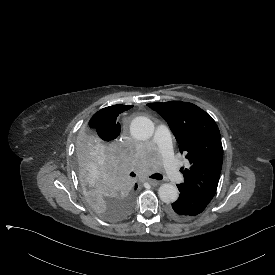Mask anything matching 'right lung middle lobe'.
Here are the masks:
<instances>
[{"label":"right lung middle lobe","mask_w":275,"mask_h":275,"mask_svg":"<svg viewBox=\"0 0 275 275\" xmlns=\"http://www.w3.org/2000/svg\"><path fill=\"white\" fill-rule=\"evenodd\" d=\"M78 172L87 203L102 217L118 221L130 213L133 199L126 172L130 156L112 142L103 143L100 129L88 124L77 140Z\"/></svg>","instance_id":"obj_1"}]
</instances>
